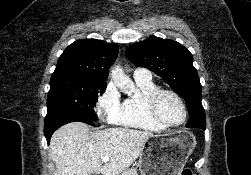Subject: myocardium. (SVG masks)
Wrapping results in <instances>:
<instances>
[{"label": "myocardium", "instance_id": "1", "mask_svg": "<svg viewBox=\"0 0 251 175\" xmlns=\"http://www.w3.org/2000/svg\"><path fill=\"white\" fill-rule=\"evenodd\" d=\"M164 93H170L172 95H174L179 102L181 103V105L183 106L184 109V120L181 124L173 126L170 125L168 123H166L159 115L158 111H157V101L158 98L164 94ZM145 107L147 110V113L149 114V116L160 126H162L164 129L167 130H177V129H181L183 127H185L188 123L189 120V108L183 98V96L176 90L174 89H170V88H157L154 91H152L145 99Z\"/></svg>", "mask_w": 251, "mask_h": 175}]
</instances>
